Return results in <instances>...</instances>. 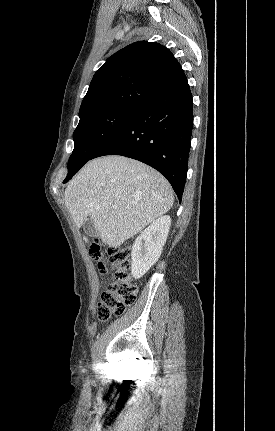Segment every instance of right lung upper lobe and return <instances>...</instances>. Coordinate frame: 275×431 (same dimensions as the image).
<instances>
[{"label":"right lung upper lobe","instance_id":"right-lung-upper-lobe-1","mask_svg":"<svg viewBox=\"0 0 275 431\" xmlns=\"http://www.w3.org/2000/svg\"><path fill=\"white\" fill-rule=\"evenodd\" d=\"M185 79L180 64L166 47L156 42H135L110 56L95 73L79 117L110 108H139Z\"/></svg>","mask_w":275,"mask_h":431}]
</instances>
